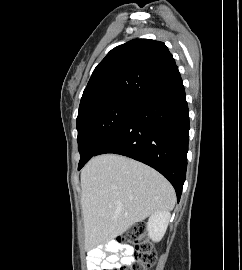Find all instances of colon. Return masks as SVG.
<instances>
[{
    "label": "colon",
    "instance_id": "obj_1",
    "mask_svg": "<svg viewBox=\"0 0 242 270\" xmlns=\"http://www.w3.org/2000/svg\"><path fill=\"white\" fill-rule=\"evenodd\" d=\"M117 242L124 245H133L135 248L132 263L121 265L118 270H149L156 263V251L148 240L145 227L142 224H134L117 239Z\"/></svg>",
    "mask_w": 242,
    "mask_h": 270
}]
</instances>
